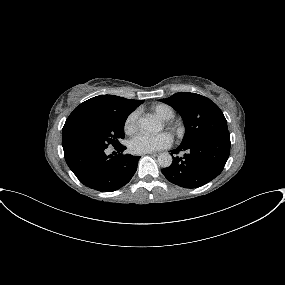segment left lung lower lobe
<instances>
[{
	"mask_svg": "<svg viewBox=\"0 0 285 285\" xmlns=\"http://www.w3.org/2000/svg\"><path fill=\"white\" fill-rule=\"evenodd\" d=\"M186 151L173 158L172 164L161 172L171 183L183 188H198L217 177L228 160L230 140L206 137L181 144L172 153Z\"/></svg>",
	"mask_w": 285,
	"mask_h": 285,
	"instance_id": "1",
	"label": "left lung lower lobe"
}]
</instances>
